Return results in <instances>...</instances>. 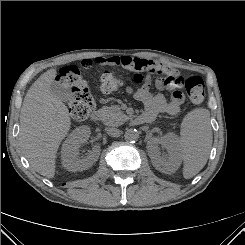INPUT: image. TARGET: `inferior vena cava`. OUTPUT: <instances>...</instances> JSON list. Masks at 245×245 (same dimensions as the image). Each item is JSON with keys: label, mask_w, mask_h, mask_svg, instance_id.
I'll use <instances>...</instances> for the list:
<instances>
[{"label": "inferior vena cava", "mask_w": 245, "mask_h": 245, "mask_svg": "<svg viewBox=\"0 0 245 245\" xmlns=\"http://www.w3.org/2000/svg\"><path fill=\"white\" fill-rule=\"evenodd\" d=\"M106 131L112 137H119L121 135V131L118 128H108Z\"/></svg>", "instance_id": "1"}]
</instances>
